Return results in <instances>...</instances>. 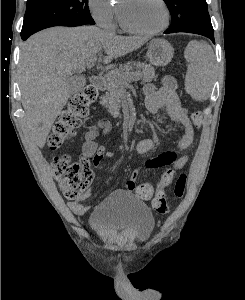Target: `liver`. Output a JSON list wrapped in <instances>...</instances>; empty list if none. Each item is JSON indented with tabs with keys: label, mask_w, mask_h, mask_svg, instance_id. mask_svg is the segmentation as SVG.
Wrapping results in <instances>:
<instances>
[{
	"label": "liver",
	"mask_w": 245,
	"mask_h": 300,
	"mask_svg": "<svg viewBox=\"0 0 245 300\" xmlns=\"http://www.w3.org/2000/svg\"><path fill=\"white\" fill-rule=\"evenodd\" d=\"M148 41L140 36H118L95 26L52 27L32 35L21 47L20 85L25 126L43 148L57 116L70 96L66 84L73 72L104 51V63L124 56Z\"/></svg>",
	"instance_id": "obj_1"
}]
</instances>
